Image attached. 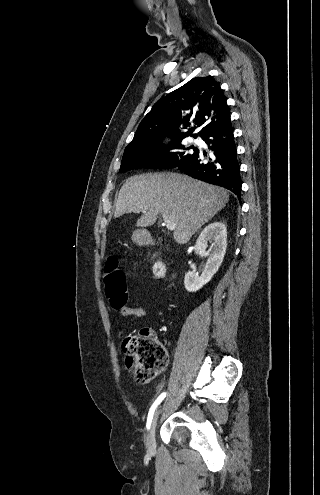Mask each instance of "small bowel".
<instances>
[{
	"instance_id": "obj_1",
	"label": "small bowel",
	"mask_w": 320,
	"mask_h": 495,
	"mask_svg": "<svg viewBox=\"0 0 320 495\" xmlns=\"http://www.w3.org/2000/svg\"><path fill=\"white\" fill-rule=\"evenodd\" d=\"M120 314L123 317H137L146 319L148 317L147 311L142 307H125ZM127 368L130 367L131 364L126 363Z\"/></svg>"
}]
</instances>
